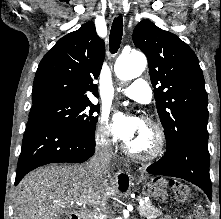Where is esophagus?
<instances>
[{
  "label": "esophagus",
  "instance_id": "34e87169",
  "mask_svg": "<svg viewBox=\"0 0 221 219\" xmlns=\"http://www.w3.org/2000/svg\"><path fill=\"white\" fill-rule=\"evenodd\" d=\"M114 9L116 11L117 14H120L122 12V5L121 3L117 2L114 4Z\"/></svg>",
  "mask_w": 221,
  "mask_h": 219
}]
</instances>
